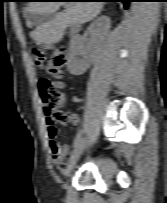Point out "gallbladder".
Here are the masks:
<instances>
[{
  "mask_svg": "<svg viewBox=\"0 0 167 203\" xmlns=\"http://www.w3.org/2000/svg\"><path fill=\"white\" fill-rule=\"evenodd\" d=\"M55 13H49V14H37V13H28L27 19L30 22L31 25L33 26H41L44 23L51 21Z\"/></svg>",
  "mask_w": 167,
  "mask_h": 203,
  "instance_id": "gallbladder-1",
  "label": "gallbladder"
}]
</instances>
